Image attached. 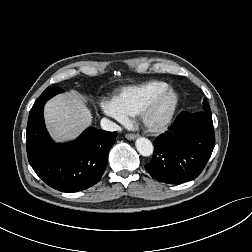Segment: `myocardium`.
Returning <instances> with one entry per match:
<instances>
[{
  "label": "myocardium",
  "mask_w": 252,
  "mask_h": 252,
  "mask_svg": "<svg viewBox=\"0 0 252 252\" xmlns=\"http://www.w3.org/2000/svg\"><path fill=\"white\" fill-rule=\"evenodd\" d=\"M166 95L170 96L172 100L168 112L159 120L151 119V114L153 110L160 102V100ZM179 104H180V94L172 86H167L156 92L150 98V100L142 107V109L138 114L139 120L141 124L150 131L153 132L163 131L166 128H168L172 123V121L174 120V117L179 108Z\"/></svg>",
  "instance_id": "f54148a6"
}]
</instances>
